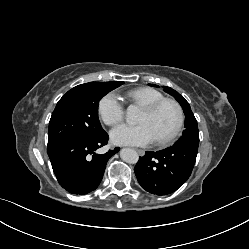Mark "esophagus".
Listing matches in <instances>:
<instances>
[{"label":"esophagus","mask_w":249,"mask_h":249,"mask_svg":"<svg viewBox=\"0 0 249 249\" xmlns=\"http://www.w3.org/2000/svg\"><path fill=\"white\" fill-rule=\"evenodd\" d=\"M136 151L139 153V155L143 156L145 154V151L142 149H136Z\"/></svg>","instance_id":"1"}]
</instances>
